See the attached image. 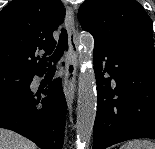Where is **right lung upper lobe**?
Returning a JSON list of instances; mask_svg holds the SVG:
<instances>
[{
    "label": "right lung upper lobe",
    "instance_id": "1",
    "mask_svg": "<svg viewBox=\"0 0 155 149\" xmlns=\"http://www.w3.org/2000/svg\"><path fill=\"white\" fill-rule=\"evenodd\" d=\"M64 16L60 0H12L0 12V68L31 76L43 73L45 56L36 55L40 50L52 53L56 46L52 33Z\"/></svg>",
    "mask_w": 155,
    "mask_h": 149
}]
</instances>
